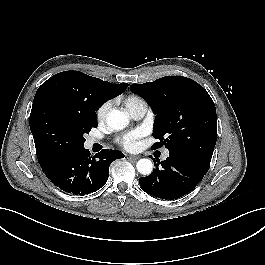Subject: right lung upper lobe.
<instances>
[{
	"label": "right lung upper lobe",
	"mask_w": 265,
	"mask_h": 265,
	"mask_svg": "<svg viewBox=\"0 0 265 265\" xmlns=\"http://www.w3.org/2000/svg\"><path fill=\"white\" fill-rule=\"evenodd\" d=\"M127 87V83L115 85L79 71H65L52 76L38 88L32 107L50 100L67 110L92 114Z\"/></svg>",
	"instance_id": "right-lung-upper-lobe-1"
}]
</instances>
